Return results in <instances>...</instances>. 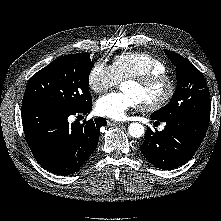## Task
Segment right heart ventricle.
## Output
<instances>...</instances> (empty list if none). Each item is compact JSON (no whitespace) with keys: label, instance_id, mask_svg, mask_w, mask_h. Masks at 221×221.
Here are the masks:
<instances>
[{"label":"right heart ventricle","instance_id":"e07e8e85","mask_svg":"<svg viewBox=\"0 0 221 221\" xmlns=\"http://www.w3.org/2000/svg\"><path fill=\"white\" fill-rule=\"evenodd\" d=\"M112 69L119 81L130 77L166 73L167 67L159 58L144 52H127L113 57Z\"/></svg>","mask_w":221,"mask_h":221}]
</instances>
